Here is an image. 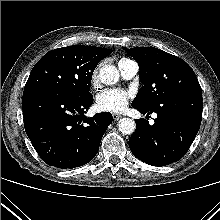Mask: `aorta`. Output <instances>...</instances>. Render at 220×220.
I'll list each match as a JSON object with an SVG mask.
<instances>
[{"label":"aorta","mask_w":220,"mask_h":220,"mask_svg":"<svg viewBox=\"0 0 220 220\" xmlns=\"http://www.w3.org/2000/svg\"><path fill=\"white\" fill-rule=\"evenodd\" d=\"M120 77L118 69L113 65H104L100 68L99 79L105 85H113L118 82ZM136 124L131 118H122L118 122V129L122 134H132Z\"/></svg>","instance_id":"obj_1"}]
</instances>
